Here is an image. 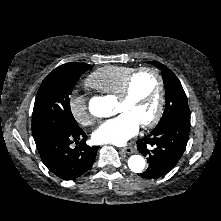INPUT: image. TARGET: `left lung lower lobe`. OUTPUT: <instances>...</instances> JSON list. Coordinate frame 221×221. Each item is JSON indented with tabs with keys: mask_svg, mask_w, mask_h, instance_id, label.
Wrapping results in <instances>:
<instances>
[{
	"mask_svg": "<svg viewBox=\"0 0 221 221\" xmlns=\"http://www.w3.org/2000/svg\"><path fill=\"white\" fill-rule=\"evenodd\" d=\"M189 129L190 115L177 116L139 139L137 148L149 163L147 170L139 175L156 179L171 171L185 151Z\"/></svg>",
	"mask_w": 221,
	"mask_h": 221,
	"instance_id": "left-lung-lower-lobe-1",
	"label": "left lung lower lobe"
}]
</instances>
